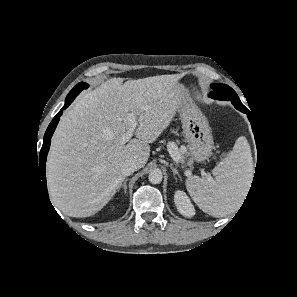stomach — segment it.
Wrapping results in <instances>:
<instances>
[{"label": "stomach", "mask_w": 297, "mask_h": 297, "mask_svg": "<svg viewBox=\"0 0 297 297\" xmlns=\"http://www.w3.org/2000/svg\"><path fill=\"white\" fill-rule=\"evenodd\" d=\"M175 89L180 98L178 113L188 142L189 154L195 161L203 162L211 156L213 148L208 119L191 97L185 84L178 82Z\"/></svg>", "instance_id": "obj_1"}]
</instances>
